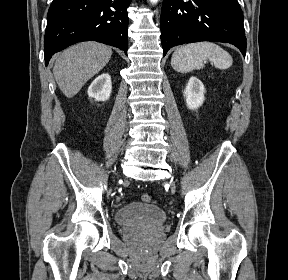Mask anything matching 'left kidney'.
<instances>
[{
    "label": "left kidney",
    "mask_w": 288,
    "mask_h": 280,
    "mask_svg": "<svg viewBox=\"0 0 288 280\" xmlns=\"http://www.w3.org/2000/svg\"><path fill=\"white\" fill-rule=\"evenodd\" d=\"M204 93L203 83L196 77H190L184 90L187 107L191 110L198 109L205 99Z\"/></svg>",
    "instance_id": "5707ae66"
}]
</instances>
